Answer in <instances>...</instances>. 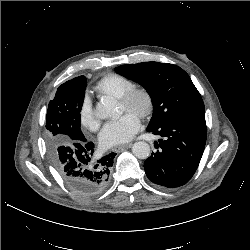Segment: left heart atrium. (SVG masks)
<instances>
[{
	"instance_id": "left-heart-atrium-1",
	"label": "left heart atrium",
	"mask_w": 250,
	"mask_h": 250,
	"mask_svg": "<svg viewBox=\"0 0 250 250\" xmlns=\"http://www.w3.org/2000/svg\"><path fill=\"white\" fill-rule=\"evenodd\" d=\"M139 127L138 116L134 112L128 111L118 119L104 125L99 135V142L104 148L128 142L136 134Z\"/></svg>"
}]
</instances>
